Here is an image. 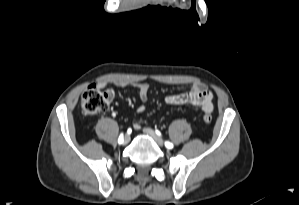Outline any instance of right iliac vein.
Instances as JSON below:
<instances>
[{
	"label": "right iliac vein",
	"mask_w": 299,
	"mask_h": 205,
	"mask_svg": "<svg viewBox=\"0 0 299 205\" xmlns=\"http://www.w3.org/2000/svg\"><path fill=\"white\" fill-rule=\"evenodd\" d=\"M130 141V136L129 135H125L123 138V144H127Z\"/></svg>",
	"instance_id": "1"
}]
</instances>
